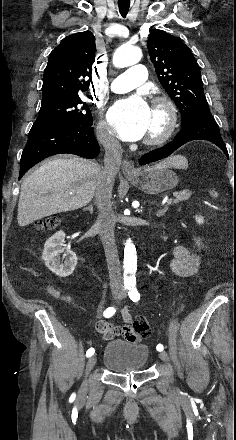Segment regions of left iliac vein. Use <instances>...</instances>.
I'll use <instances>...</instances> for the list:
<instances>
[{
    "instance_id": "1",
    "label": "left iliac vein",
    "mask_w": 236,
    "mask_h": 440,
    "mask_svg": "<svg viewBox=\"0 0 236 440\" xmlns=\"http://www.w3.org/2000/svg\"><path fill=\"white\" fill-rule=\"evenodd\" d=\"M122 296L125 297V294H123ZM159 357L163 361H168L169 360L168 354L166 352H164V351L159 354Z\"/></svg>"
}]
</instances>
